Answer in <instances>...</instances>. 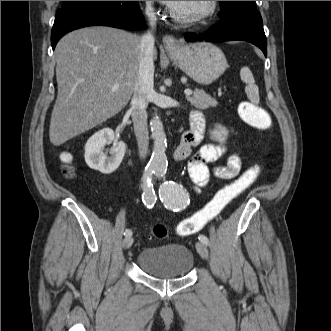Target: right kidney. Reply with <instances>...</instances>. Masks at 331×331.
<instances>
[{"label": "right kidney", "instance_id": "obj_1", "mask_svg": "<svg viewBox=\"0 0 331 331\" xmlns=\"http://www.w3.org/2000/svg\"><path fill=\"white\" fill-rule=\"evenodd\" d=\"M113 142L110 155L104 152L105 146ZM126 152L125 143L115 138L110 128H104L93 134L85 145L86 164L103 174H111L122 162Z\"/></svg>", "mask_w": 331, "mask_h": 331}]
</instances>
